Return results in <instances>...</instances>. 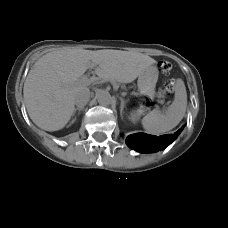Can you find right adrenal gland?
Listing matches in <instances>:
<instances>
[{"instance_id":"right-adrenal-gland-1","label":"right adrenal gland","mask_w":228,"mask_h":228,"mask_svg":"<svg viewBox=\"0 0 228 228\" xmlns=\"http://www.w3.org/2000/svg\"><path fill=\"white\" fill-rule=\"evenodd\" d=\"M84 108H81V107H77V108H75L74 109V112H73V115H75V113H76V111H78L79 112V114H80V111H82ZM75 120H76V118L75 119H73V121H72V123L71 124H73L74 122H75Z\"/></svg>"}]
</instances>
